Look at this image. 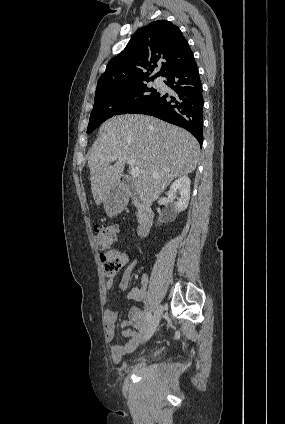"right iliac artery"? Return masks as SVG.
<instances>
[{
	"label": "right iliac artery",
	"mask_w": 285,
	"mask_h": 424,
	"mask_svg": "<svg viewBox=\"0 0 285 424\" xmlns=\"http://www.w3.org/2000/svg\"><path fill=\"white\" fill-rule=\"evenodd\" d=\"M151 318H152L151 312H148V314H147V323H150Z\"/></svg>",
	"instance_id": "1"
}]
</instances>
